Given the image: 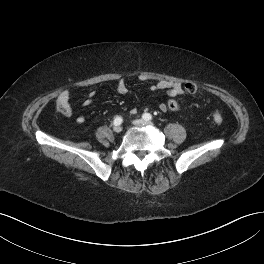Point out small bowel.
Masks as SVG:
<instances>
[{"mask_svg": "<svg viewBox=\"0 0 264 264\" xmlns=\"http://www.w3.org/2000/svg\"><path fill=\"white\" fill-rule=\"evenodd\" d=\"M140 81H146L147 78L145 76H140L139 77ZM150 89L152 91L155 90H165L167 95L170 97H176V96H181L184 94L182 85L178 82H172L169 80H159L157 83L153 84ZM116 90L119 94L124 95L128 92V86L127 83L125 81V79L120 78L117 83H116ZM94 97V92H91L89 97L86 98L83 101V104L85 106H89L92 103V98ZM70 92L68 90H63L58 98H57V102L58 105L63 108L64 110V115L66 116H71L72 115V109H71V105H70ZM159 109L162 112H166L167 108L166 105L164 103L160 104ZM77 124H82L85 121V117L80 115L77 116L75 119Z\"/></svg>", "mask_w": 264, "mask_h": 264, "instance_id": "small-bowel-1", "label": "small bowel"}]
</instances>
